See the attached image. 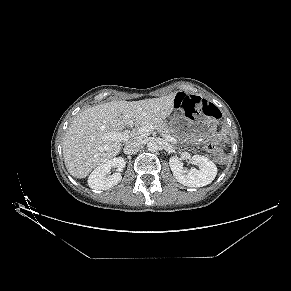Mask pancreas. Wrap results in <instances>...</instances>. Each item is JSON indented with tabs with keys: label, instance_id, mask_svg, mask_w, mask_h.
<instances>
[{
	"label": "pancreas",
	"instance_id": "obj_1",
	"mask_svg": "<svg viewBox=\"0 0 291 291\" xmlns=\"http://www.w3.org/2000/svg\"><path fill=\"white\" fill-rule=\"evenodd\" d=\"M153 125L154 129L160 133L163 137L164 135H170L171 136V130L168 127L167 123L160 119V120H153V121H148L140 124V127H143L145 125Z\"/></svg>",
	"mask_w": 291,
	"mask_h": 291
}]
</instances>
